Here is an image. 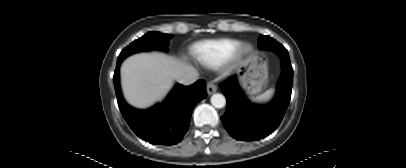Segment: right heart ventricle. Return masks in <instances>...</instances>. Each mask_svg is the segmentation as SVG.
Listing matches in <instances>:
<instances>
[{
  "label": "right heart ventricle",
  "instance_id": "obj_1",
  "mask_svg": "<svg viewBox=\"0 0 406 168\" xmlns=\"http://www.w3.org/2000/svg\"><path fill=\"white\" fill-rule=\"evenodd\" d=\"M240 45L241 42L236 39L205 40L192 45L190 55L195 62L214 68L231 60Z\"/></svg>",
  "mask_w": 406,
  "mask_h": 168
}]
</instances>
